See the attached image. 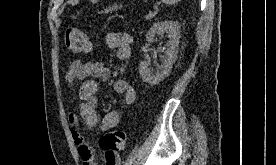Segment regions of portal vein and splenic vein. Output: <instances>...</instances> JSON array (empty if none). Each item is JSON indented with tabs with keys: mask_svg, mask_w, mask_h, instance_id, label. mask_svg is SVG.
I'll return each mask as SVG.
<instances>
[{
	"mask_svg": "<svg viewBox=\"0 0 276 165\" xmlns=\"http://www.w3.org/2000/svg\"><path fill=\"white\" fill-rule=\"evenodd\" d=\"M156 10H157V7H156ZM145 17H146V19H151L154 17V13L151 12V13L147 14Z\"/></svg>",
	"mask_w": 276,
	"mask_h": 165,
	"instance_id": "18ae733b",
	"label": "portal vein and splenic vein"
}]
</instances>
